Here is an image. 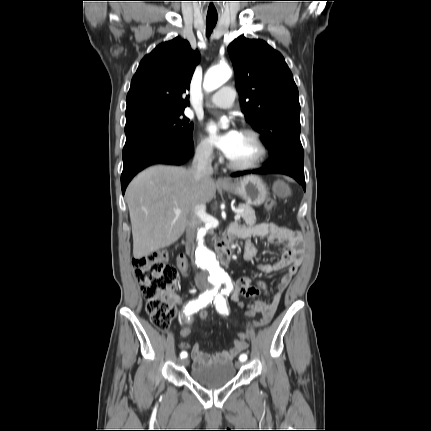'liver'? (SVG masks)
Returning <instances> with one entry per match:
<instances>
[{
	"instance_id": "liver-1",
	"label": "liver",
	"mask_w": 431,
	"mask_h": 431,
	"mask_svg": "<svg viewBox=\"0 0 431 431\" xmlns=\"http://www.w3.org/2000/svg\"><path fill=\"white\" fill-rule=\"evenodd\" d=\"M216 193L211 178L194 179L190 169L156 165L138 174L125 197L133 235V256L140 259L175 243L195 214L197 204ZM181 211L179 215L174 210Z\"/></svg>"
}]
</instances>
